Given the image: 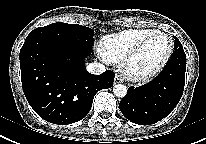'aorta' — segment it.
Wrapping results in <instances>:
<instances>
[{
	"mask_svg": "<svg viewBox=\"0 0 206 144\" xmlns=\"http://www.w3.org/2000/svg\"><path fill=\"white\" fill-rule=\"evenodd\" d=\"M113 93L119 98H123L127 94V87L123 84H117L113 87Z\"/></svg>",
	"mask_w": 206,
	"mask_h": 144,
	"instance_id": "762f6f07",
	"label": "aorta"
}]
</instances>
